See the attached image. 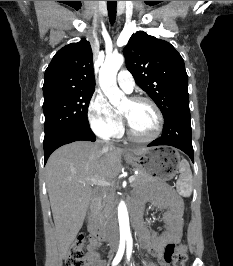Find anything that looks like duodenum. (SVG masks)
Wrapping results in <instances>:
<instances>
[{
	"instance_id": "410a0bca",
	"label": "duodenum",
	"mask_w": 233,
	"mask_h": 266,
	"mask_svg": "<svg viewBox=\"0 0 233 266\" xmlns=\"http://www.w3.org/2000/svg\"><path fill=\"white\" fill-rule=\"evenodd\" d=\"M131 213L134 217L135 222L141 218V211L139 206L132 205ZM88 229L90 234L99 241H107L110 237V232L106 226L99 219V192L94 193L91 207L90 217L88 223Z\"/></svg>"
}]
</instances>
